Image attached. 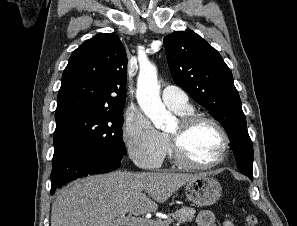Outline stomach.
Wrapping results in <instances>:
<instances>
[{"label":"stomach","mask_w":297,"mask_h":226,"mask_svg":"<svg viewBox=\"0 0 297 226\" xmlns=\"http://www.w3.org/2000/svg\"><path fill=\"white\" fill-rule=\"evenodd\" d=\"M185 194L189 201L198 206H210L220 198L222 188L213 177L202 175L186 184Z\"/></svg>","instance_id":"0dacf381"}]
</instances>
